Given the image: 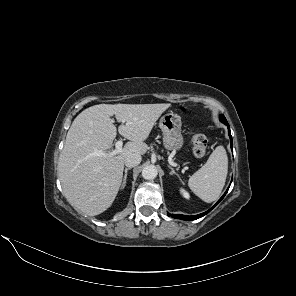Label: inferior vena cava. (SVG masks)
Returning <instances> with one entry per match:
<instances>
[{"instance_id":"1","label":"inferior vena cava","mask_w":296,"mask_h":296,"mask_svg":"<svg viewBox=\"0 0 296 296\" xmlns=\"http://www.w3.org/2000/svg\"><path fill=\"white\" fill-rule=\"evenodd\" d=\"M141 156L139 154H131L125 158V165L129 168L135 167L140 164Z\"/></svg>"}]
</instances>
